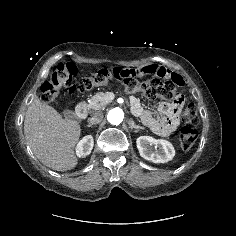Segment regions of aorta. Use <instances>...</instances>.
Masks as SVG:
<instances>
[{"mask_svg":"<svg viewBox=\"0 0 236 236\" xmlns=\"http://www.w3.org/2000/svg\"><path fill=\"white\" fill-rule=\"evenodd\" d=\"M123 118L124 112L119 107L111 109L107 115V120L112 125H119L123 121Z\"/></svg>","mask_w":236,"mask_h":236,"instance_id":"1","label":"aorta"}]
</instances>
